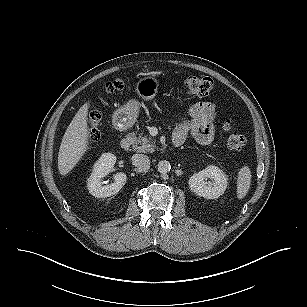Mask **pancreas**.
Returning <instances> with one entry per match:
<instances>
[{"label":"pancreas","mask_w":307,"mask_h":307,"mask_svg":"<svg viewBox=\"0 0 307 307\" xmlns=\"http://www.w3.org/2000/svg\"><path fill=\"white\" fill-rule=\"evenodd\" d=\"M132 135L134 140L132 148L134 151L142 153L154 152L156 146L155 142L150 136L140 134L138 137H136L135 134Z\"/></svg>","instance_id":"1"}]
</instances>
